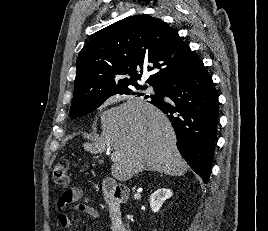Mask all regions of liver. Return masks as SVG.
I'll return each instance as SVG.
<instances>
[{
    "mask_svg": "<svg viewBox=\"0 0 268 231\" xmlns=\"http://www.w3.org/2000/svg\"><path fill=\"white\" fill-rule=\"evenodd\" d=\"M102 134L84 149L93 154L113 148L112 176L125 182L144 170L182 176L188 164L176 147V136L168 118L154 105L138 98L111 107L101 115ZM114 156V155H112Z\"/></svg>",
    "mask_w": 268,
    "mask_h": 231,
    "instance_id": "liver-1",
    "label": "liver"
}]
</instances>
